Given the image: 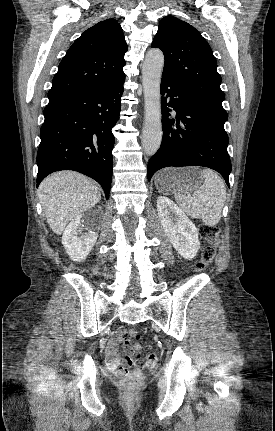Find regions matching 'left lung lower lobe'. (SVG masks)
Returning <instances> with one entry per match:
<instances>
[{
  "instance_id": "obj_1",
  "label": "left lung lower lobe",
  "mask_w": 275,
  "mask_h": 431,
  "mask_svg": "<svg viewBox=\"0 0 275 431\" xmlns=\"http://www.w3.org/2000/svg\"><path fill=\"white\" fill-rule=\"evenodd\" d=\"M167 106L176 111L175 119L169 118ZM161 108L163 138L149 160L148 180L164 167L204 166L219 172L229 186L227 115L205 107L167 75L161 79Z\"/></svg>"
}]
</instances>
